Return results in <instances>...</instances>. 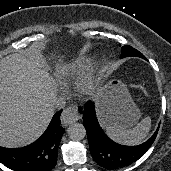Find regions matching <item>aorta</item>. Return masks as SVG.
Instances as JSON below:
<instances>
[{
	"label": "aorta",
	"instance_id": "aorta-1",
	"mask_svg": "<svg viewBox=\"0 0 171 171\" xmlns=\"http://www.w3.org/2000/svg\"><path fill=\"white\" fill-rule=\"evenodd\" d=\"M67 133L70 139L79 141L85 138L86 129L83 124L73 123L68 127Z\"/></svg>",
	"mask_w": 171,
	"mask_h": 171
}]
</instances>
